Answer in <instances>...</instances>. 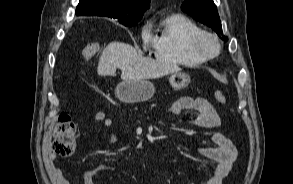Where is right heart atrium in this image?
I'll return each instance as SVG.
<instances>
[{"label":"right heart atrium","mask_w":293,"mask_h":184,"mask_svg":"<svg viewBox=\"0 0 293 184\" xmlns=\"http://www.w3.org/2000/svg\"><path fill=\"white\" fill-rule=\"evenodd\" d=\"M140 36H141L142 47L144 50L153 48L154 37L151 34L150 26L148 23H145L141 26Z\"/></svg>","instance_id":"d8ad5b80"}]
</instances>
